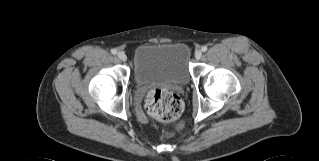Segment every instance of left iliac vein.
I'll use <instances>...</instances> for the list:
<instances>
[{"label": "left iliac vein", "instance_id": "left-iliac-vein-1", "mask_svg": "<svg viewBox=\"0 0 319 161\" xmlns=\"http://www.w3.org/2000/svg\"><path fill=\"white\" fill-rule=\"evenodd\" d=\"M201 56H202V51H201V50H197V51L195 52V58H196V59H200Z\"/></svg>", "mask_w": 319, "mask_h": 161}]
</instances>
